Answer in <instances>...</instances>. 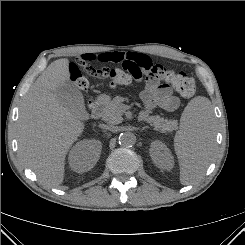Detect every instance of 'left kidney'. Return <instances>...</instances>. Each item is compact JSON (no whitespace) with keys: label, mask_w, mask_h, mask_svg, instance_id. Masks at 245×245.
<instances>
[{"label":"left kidney","mask_w":245,"mask_h":245,"mask_svg":"<svg viewBox=\"0 0 245 245\" xmlns=\"http://www.w3.org/2000/svg\"><path fill=\"white\" fill-rule=\"evenodd\" d=\"M150 156L159 168L171 169L173 167V157L167 146L161 141L151 143Z\"/></svg>","instance_id":"1"}]
</instances>
